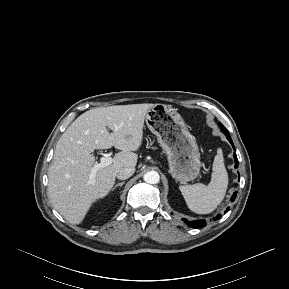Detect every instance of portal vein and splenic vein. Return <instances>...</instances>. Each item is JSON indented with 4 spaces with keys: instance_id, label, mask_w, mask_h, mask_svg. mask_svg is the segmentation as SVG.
Listing matches in <instances>:
<instances>
[{
    "instance_id": "1",
    "label": "portal vein and splenic vein",
    "mask_w": 289,
    "mask_h": 289,
    "mask_svg": "<svg viewBox=\"0 0 289 289\" xmlns=\"http://www.w3.org/2000/svg\"><path fill=\"white\" fill-rule=\"evenodd\" d=\"M113 159L111 157V153L108 154H104L101 158H100V163L95 164L91 170V174H90V182H93L95 179V175L97 173V171L101 168H104L106 166H109L110 164H112Z\"/></svg>"
}]
</instances>
